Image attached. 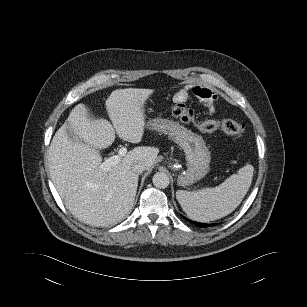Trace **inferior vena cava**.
<instances>
[{
  "mask_svg": "<svg viewBox=\"0 0 307 307\" xmlns=\"http://www.w3.org/2000/svg\"><path fill=\"white\" fill-rule=\"evenodd\" d=\"M132 170L137 174H141L145 170V165L141 162L135 163L132 166Z\"/></svg>",
  "mask_w": 307,
  "mask_h": 307,
  "instance_id": "obj_1",
  "label": "inferior vena cava"
}]
</instances>
